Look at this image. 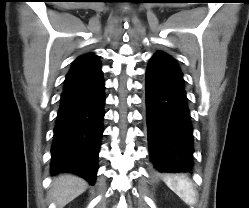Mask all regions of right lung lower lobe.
<instances>
[{
    "mask_svg": "<svg viewBox=\"0 0 249 208\" xmlns=\"http://www.w3.org/2000/svg\"><path fill=\"white\" fill-rule=\"evenodd\" d=\"M102 72L63 89L51 148V173L71 172L96 180L103 133Z\"/></svg>",
    "mask_w": 249,
    "mask_h": 208,
    "instance_id": "98d812e1",
    "label": "right lung lower lobe"
}]
</instances>
